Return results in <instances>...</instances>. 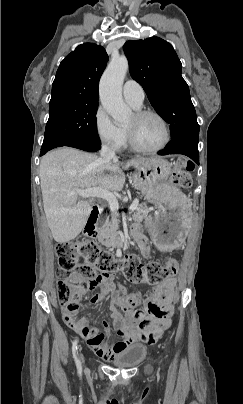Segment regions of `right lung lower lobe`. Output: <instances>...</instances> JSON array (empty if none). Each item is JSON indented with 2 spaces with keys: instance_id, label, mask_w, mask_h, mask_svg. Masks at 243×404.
I'll list each match as a JSON object with an SVG mask.
<instances>
[{
  "instance_id": "1",
  "label": "right lung lower lobe",
  "mask_w": 243,
  "mask_h": 404,
  "mask_svg": "<svg viewBox=\"0 0 243 404\" xmlns=\"http://www.w3.org/2000/svg\"><path fill=\"white\" fill-rule=\"evenodd\" d=\"M68 146L89 152H95L101 148V143L88 141H72L68 143Z\"/></svg>"
}]
</instances>
